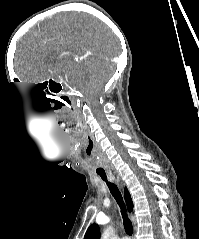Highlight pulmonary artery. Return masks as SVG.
Wrapping results in <instances>:
<instances>
[{"instance_id": "1", "label": "pulmonary artery", "mask_w": 199, "mask_h": 239, "mask_svg": "<svg viewBox=\"0 0 199 239\" xmlns=\"http://www.w3.org/2000/svg\"><path fill=\"white\" fill-rule=\"evenodd\" d=\"M121 239H129L128 237H122Z\"/></svg>"}]
</instances>
